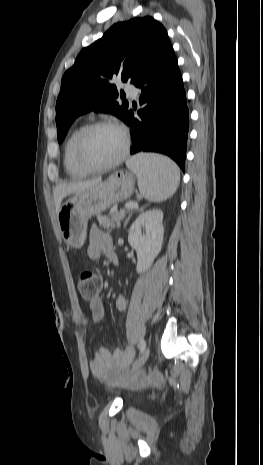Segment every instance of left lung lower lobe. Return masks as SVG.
<instances>
[{
    "mask_svg": "<svg viewBox=\"0 0 263 465\" xmlns=\"http://www.w3.org/2000/svg\"><path fill=\"white\" fill-rule=\"evenodd\" d=\"M134 85L141 89L139 119L129 110L125 123L131 127V154L159 152L185 168L189 110L183 80L170 43L163 46Z\"/></svg>",
    "mask_w": 263,
    "mask_h": 465,
    "instance_id": "obj_1",
    "label": "left lung lower lobe"
}]
</instances>
